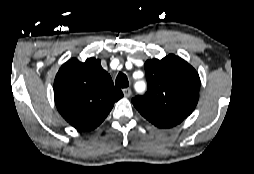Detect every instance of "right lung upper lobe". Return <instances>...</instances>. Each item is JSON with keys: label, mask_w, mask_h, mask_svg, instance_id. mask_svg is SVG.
Segmentation results:
<instances>
[{"label": "right lung upper lobe", "mask_w": 254, "mask_h": 174, "mask_svg": "<svg viewBox=\"0 0 254 174\" xmlns=\"http://www.w3.org/2000/svg\"><path fill=\"white\" fill-rule=\"evenodd\" d=\"M122 97V91L113 85L98 59L80 62L72 58L62 65L55 77L57 109L70 125L82 131L99 126Z\"/></svg>", "instance_id": "right-lung-upper-lobe-1"}]
</instances>
